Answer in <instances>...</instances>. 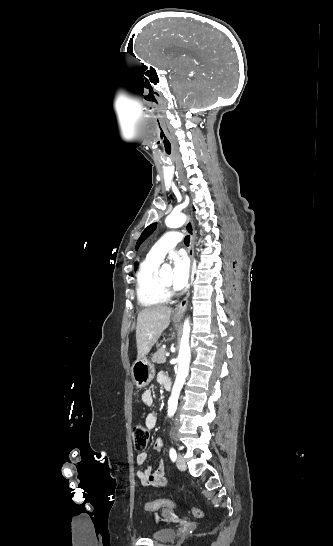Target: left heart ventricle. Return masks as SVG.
Returning a JSON list of instances; mask_svg holds the SVG:
<instances>
[{"label":"left heart ventricle","mask_w":333,"mask_h":546,"mask_svg":"<svg viewBox=\"0 0 333 546\" xmlns=\"http://www.w3.org/2000/svg\"><path fill=\"white\" fill-rule=\"evenodd\" d=\"M172 275L170 273H167V274H164L162 277H161V281L165 284V285H168V286H171L172 285Z\"/></svg>","instance_id":"1"}]
</instances>
